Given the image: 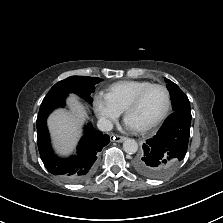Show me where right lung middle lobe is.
<instances>
[{"label":"right lung middle lobe","mask_w":223,"mask_h":223,"mask_svg":"<svg viewBox=\"0 0 223 223\" xmlns=\"http://www.w3.org/2000/svg\"><path fill=\"white\" fill-rule=\"evenodd\" d=\"M101 78L88 76H70L56 83L43 99L41 106L66 97L69 93H75L85 100L91 102V93L95 91V86L101 82ZM40 106V107H41Z\"/></svg>","instance_id":"dd1d6c3e"}]
</instances>
